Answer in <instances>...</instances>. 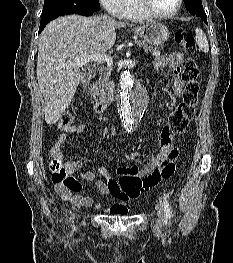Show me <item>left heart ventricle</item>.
<instances>
[{"mask_svg": "<svg viewBox=\"0 0 233 263\" xmlns=\"http://www.w3.org/2000/svg\"><path fill=\"white\" fill-rule=\"evenodd\" d=\"M152 8L162 14L172 12L177 4V0H149Z\"/></svg>", "mask_w": 233, "mask_h": 263, "instance_id": "b2bd125f", "label": "left heart ventricle"}]
</instances>
